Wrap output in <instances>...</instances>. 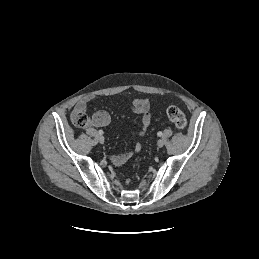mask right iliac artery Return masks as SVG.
Returning a JSON list of instances; mask_svg holds the SVG:
<instances>
[{
  "mask_svg": "<svg viewBox=\"0 0 259 259\" xmlns=\"http://www.w3.org/2000/svg\"><path fill=\"white\" fill-rule=\"evenodd\" d=\"M98 133H99L100 135H102L104 132H103V130H99Z\"/></svg>",
  "mask_w": 259,
  "mask_h": 259,
  "instance_id": "obj_1",
  "label": "right iliac artery"
}]
</instances>
